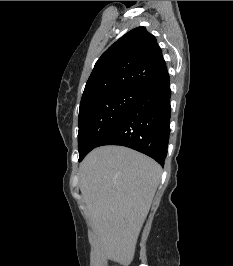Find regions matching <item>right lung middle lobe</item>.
<instances>
[{"instance_id": "1", "label": "right lung middle lobe", "mask_w": 233, "mask_h": 266, "mask_svg": "<svg viewBox=\"0 0 233 266\" xmlns=\"http://www.w3.org/2000/svg\"><path fill=\"white\" fill-rule=\"evenodd\" d=\"M144 91L123 89L92 97L80 103L79 158L95 148L101 138L115 126L141 98Z\"/></svg>"}]
</instances>
